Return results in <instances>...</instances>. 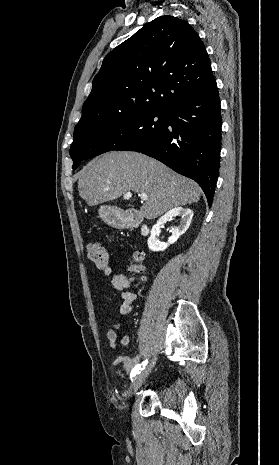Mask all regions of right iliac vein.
Masks as SVG:
<instances>
[{
  "instance_id": "obj_1",
  "label": "right iliac vein",
  "mask_w": 279,
  "mask_h": 465,
  "mask_svg": "<svg viewBox=\"0 0 279 465\" xmlns=\"http://www.w3.org/2000/svg\"><path fill=\"white\" fill-rule=\"evenodd\" d=\"M155 365V361H153L151 364L146 366L143 370H141L133 379L130 390H129V396H132L135 394L138 389L141 387V385L144 383L148 375L150 374L152 368Z\"/></svg>"
}]
</instances>
